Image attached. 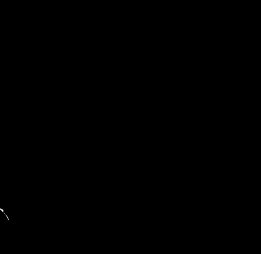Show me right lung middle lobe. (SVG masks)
I'll return each mask as SVG.
<instances>
[{"mask_svg":"<svg viewBox=\"0 0 261 254\" xmlns=\"http://www.w3.org/2000/svg\"><path fill=\"white\" fill-rule=\"evenodd\" d=\"M56 111L59 117L76 123L93 142L99 139L101 127L94 121V103L86 87L67 90Z\"/></svg>","mask_w":261,"mask_h":254,"instance_id":"dd1d6c3e","label":"right lung middle lobe"}]
</instances>
